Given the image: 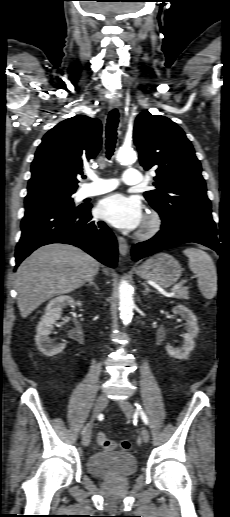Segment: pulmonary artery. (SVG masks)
Instances as JSON below:
<instances>
[{
    "label": "pulmonary artery",
    "mask_w": 230,
    "mask_h": 517,
    "mask_svg": "<svg viewBox=\"0 0 230 517\" xmlns=\"http://www.w3.org/2000/svg\"><path fill=\"white\" fill-rule=\"evenodd\" d=\"M92 183L84 189V196L91 197L101 195L114 190L118 183L115 180L100 178L91 175ZM142 181V176L138 169L127 168L123 175V182L126 185H137Z\"/></svg>",
    "instance_id": "pulmonary-artery-1"
}]
</instances>
